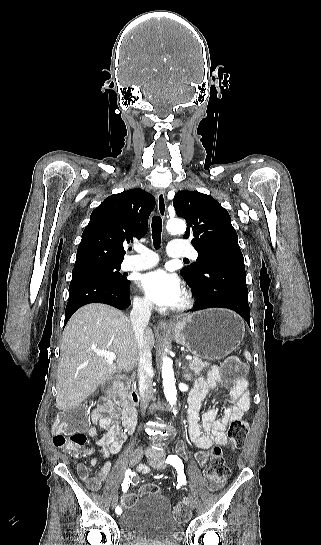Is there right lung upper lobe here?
Instances as JSON below:
<instances>
[{
  "label": "right lung upper lobe",
  "instance_id": "right-lung-upper-lobe-1",
  "mask_svg": "<svg viewBox=\"0 0 321 545\" xmlns=\"http://www.w3.org/2000/svg\"><path fill=\"white\" fill-rule=\"evenodd\" d=\"M155 198L142 189H130L107 197L93 210L82 233L74 269L121 264L124 243L147 233Z\"/></svg>",
  "mask_w": 321,
  "mask_h": 545
}]
</instances>
